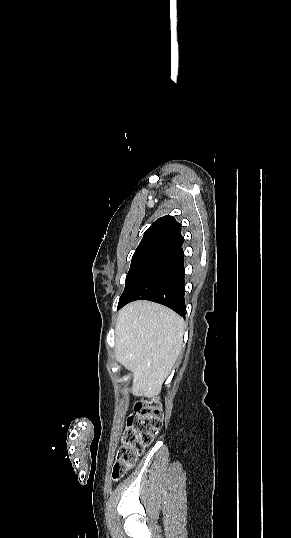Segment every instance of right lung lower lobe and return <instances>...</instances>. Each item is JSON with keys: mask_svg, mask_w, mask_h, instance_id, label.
<instances>
[{"mask_svg": "<svg viewBox=\"0 0 291 538\" xmlns=\"http://www.w3.org/2000/svg\"><path fill=\"white\" fill-rule=\"evenodd\" d=\"M184 274V252L179 247L150 271L132 292L127 303L150 300L185 316Z\"/></svg>", "mask_w": 291, "mask_h": 538, "instance_id": "1", "label": "right lung lower lobe"}]
</instances>
